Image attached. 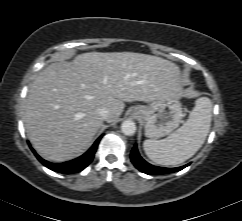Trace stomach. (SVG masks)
<instances>
[{
	"label": "stomach",
	"mask_w": 242,
	"mask_h": 221,
	"mask_svg": "<svg viewBox=\"0 0 242 221\" xmlns=\"http://www.w3.org/2000/svg\"><path fill=\"white\" fill-rule=\"evenodd\" d=\"M131 114L144 122L145 135L160 138L176 129L183 116L179 98H161L149 105H137L131 108Z\"/></svg>",
	"instance_id": "0dacf381"
}]
</instances>
